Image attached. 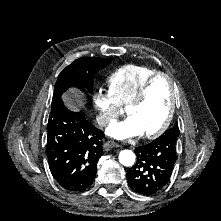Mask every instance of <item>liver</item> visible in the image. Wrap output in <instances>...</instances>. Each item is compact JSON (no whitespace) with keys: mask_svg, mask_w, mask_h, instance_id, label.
I'll use <instances>...</instances> for the list:
<instances>
[{"mask_svg":"<svg viewBox=\"0 0 221 221\" xmlns=\"http://www.w3.org/2000/svg\"><path fill=\"white\" fill-rule=\"evenodd\" d=\"M63 100L65 104L71 109H77L78 107H82L83 103L80 99L76 90L69 91L67 94L63 96Z\"/></svg>","mask_w":221,"mask_h":221,"instance_id":"6515ba94","label":"liver"}]
</instances>
